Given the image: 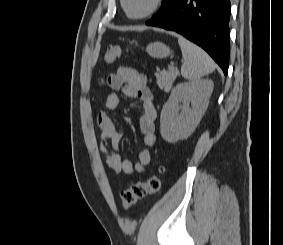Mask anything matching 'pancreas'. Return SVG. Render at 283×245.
<instances>
[{"instance_id": "1", "label": "pancreas", "mask_w": 283, "mask_h": 245, "mask_svg": "<svg viewBox=\"0 0 283 245\" xmlns=\"http://www.w3.org/2000/svg\"><path fill=\"white\" fill-rule=\"evenodd\" d=\"M178 74V71L171 69L168 71L159 72L156 76L159 88L163 89L165 92L170 91L172 84Z\"/></svg>"}]
</instances>
